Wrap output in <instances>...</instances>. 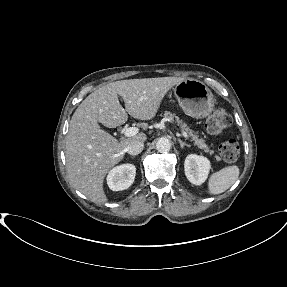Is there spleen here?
<instances>
[{
    "label": "spleen",
    "instance_id": "obj_1",
    "mask_svg": "<svg viewBox=\"0 0 287 287\" xmlns=\"http://www.w3.org/2000/svg\"><path fill=\"white\" fill-rule=\"evenodd\" d=\"M239 168L236 165L226 166L213 173L208 182V191L212 195L223 193L229 189L239 177Z\"/></svg>",
    "mask_w": 287,
    "mask_h": 287
}]
</instances>
